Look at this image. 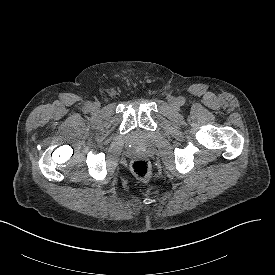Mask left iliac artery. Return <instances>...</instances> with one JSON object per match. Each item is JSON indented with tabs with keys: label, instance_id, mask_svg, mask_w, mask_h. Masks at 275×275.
<instances>
[{
	"label": "left iliac artery",
	"instance_id": "left-iliac-artery-1",
	"mask_svg": "<svg viewBox=\"0 0 275 275\" xmlns=\"http://www.w3.org/2000/svg\"><path fill=\"white\" fill-rule=\"evenodd\" d=\"M179 104L180 105H184V103H185V98L184 97H179Z\"/></svg>",
	"mask_w": 275,
	"mask_h": 275
}]
</instances>
